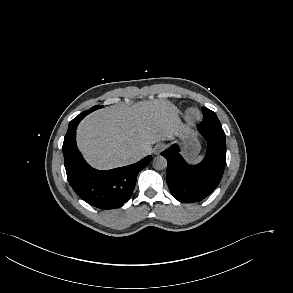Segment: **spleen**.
Masks as SVG:
<instances>
[{
  "label": "spleen",
  "mask_w": 293,
  "mask_h": 293,
  "mask_svg": "<svg viewBox=\"0 0 293 293\" xmlns=\"http://www.w3.org/2000/svg\"><path fill=\"white\" fill-rule=\"evenodd\" d=\"M202 159V156H199L196 160L195 163L199 162Z\"/></svg>",
  "instance_id": "1"
}]
</instances>
